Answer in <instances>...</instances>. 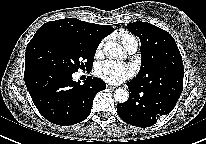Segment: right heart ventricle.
<instances>
[{"mask_svg":"<svg viewBox=\"0 0 206 144\" xmlns=\"http://www.w3.org/2000/svg\"><path fill=\"white\" fill-rule=\"evenodd\" d=\"M117 36L125 48H128L130 45H132L134 43L137 44L136 38L132 34L126 32V31L118 32Z\"/></svg>","mask_w":206,"mask_h":144,"instance_id":"e07e8e85","label":"right heart ventricle"}]
</instances>
